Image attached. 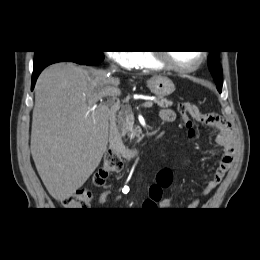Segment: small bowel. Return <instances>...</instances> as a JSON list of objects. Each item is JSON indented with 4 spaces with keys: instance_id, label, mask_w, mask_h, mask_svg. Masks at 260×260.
Instances as JSON below:
<instances>
[{
    "instance_id": "small-bowel-1",
    "label": "small bowel",
    "mask_w": 260,
    "mask_h": 260,
    "mask_svg": "<svg viewBox=\"0 0 260 260\" xmlns=\"http://www.w3.org/2000/svg\"><path fill=\"white\" fill-rule=\"evenodd\" d=\"M160 118L163 122H173L176 118V115L174 111L170 109H164L160 112ZM194 120L214 129L217 133L216 142L223 148L221 161L203 190V194L208 195L220 184L225 174L232 166L235 150V133L231 123L226 121L220 115L214 113L203 114L199 112V114L194 117ZM108 195L109 191H104L100 196V203H102ZM199 202L200 201L198 198L194 199L189 204L188 209H196L199 206ZM156 203H158L159 207L162 209L172 208V203L169 199H162L157 202H152L147 199L144 203V206L146 208H154L156 207Z\"/></svg>"
}]
</instances>
